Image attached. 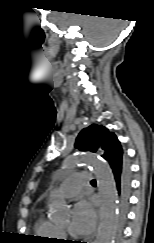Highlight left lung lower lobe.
<instances>
[{
  "instance_id": "obj_1",
  "label": "left lung lower lobe",
  "mask_w": 154,
  "mask_h": 243,
  "mask_svg": "<svg viewBox=\"0 0 154 243\" xmlns=\"http://www.w3.org/2000/svg\"><path fill=\"white\" fill-rule=\"evenodd\" d=\"M118 191L120 229L126 219L130 195V168L126 156L109 160Z\"/></svg>"
}]
</instances>
